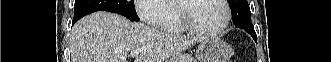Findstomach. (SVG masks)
I'll use <instances>...</instances> for the list:
<instances>
[{
    "label": "stomach",
    "instance_id": "obj_1",
    "mask_svg": "<svg viewBox=\"0 0 331 62\" xmlns=\"http://www.w3.org/2000/svg\"><path fill=\"white\" fill-rule=\"evenodd\" d=\"M232 48L218 38H206L200 42L196 51L198 62H228Z\"/></svg>",
    "mask_w": 331,
    "mask_h": 62
}]
</instances>
